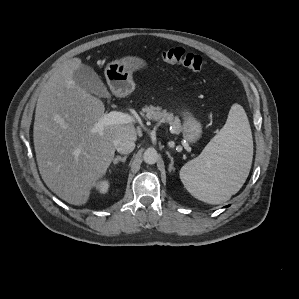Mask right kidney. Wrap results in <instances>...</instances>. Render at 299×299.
I'll use <instances>...</instances> for the list:
<instances>
[{
	"instance_id": "ca27d5eb",
	"label": "right kidney",
	"mask_w": 299,
	"mask_h": 299,
	"mask_svg": "<svg viewBox=\"0 0 299 299\" xmlns=\"http://www.w3.org/2000/svg\"><path fill=\"white\" fill-rule=\"evenodd\" d=\"M97 188L100 191V193L105 194L107 193L109 189V182L108 181H101L97 184Z\"/></svg>"
}]
</instances>
